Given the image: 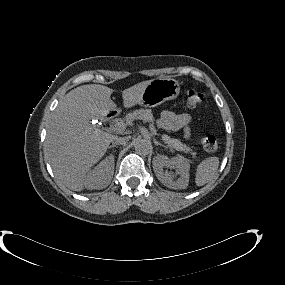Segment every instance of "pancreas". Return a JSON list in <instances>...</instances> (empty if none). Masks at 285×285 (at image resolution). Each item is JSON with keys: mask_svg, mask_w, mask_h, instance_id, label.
<instances>
[{"mask_svg": "<svg viewBox=\"0 0 285 285\" xmlns=\"http://www.w3.org/2000/svg\"><path fill=\"white\" fill-rule=\"evenodd\" d=\"M143 120L145 122H148L150 125V129L153 133H156V128L154 126V117L152 114V111L150 109H138L131 113H128L126 115L127 121H133V120ZM117 123H123V120H120ZM116 123V124H117ZM161 139L163 143L168 146L170 149H174L176 151H181L186 154H191L194 158L196 157V152L192 151V149L185 144H183L180 140L171 138L170 136L163 134L161 136Z\"/></svg>", "mask_w": 285, "mask_h": 285, "instance_id": "pancreas-1", "label": "pancreas"}]
</instances>
